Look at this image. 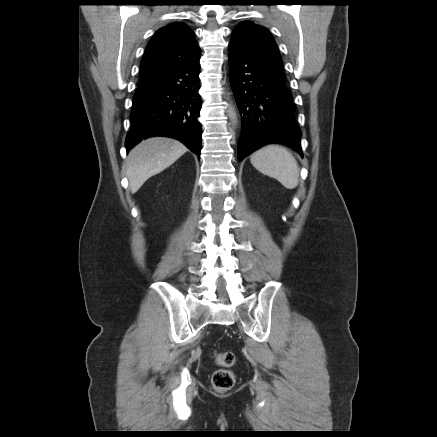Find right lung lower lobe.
Listing matches in <instances>:
<instances>
[{
    "label": "right lung lower lobe",
    "instance_id": "right-lung-lower-lobe-1",
    "mask_svg": "<svg viewBox=\"0 0 437 437\" xmlns=\"http://www.w3.org/2000/svg\"><path fill=\"white\" fill-rule=\"evenodd\" d=\"M199 58L139 84L132 101V126L125 142L127 151L143 138L168 136L200 155Z\"/></svg>",
    "mask_w": 437,
    "mask_h": 437
}]
</instances>
